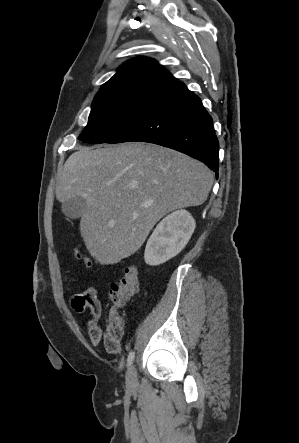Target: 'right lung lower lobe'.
<instances>
[{
  "label": "right lung lower lobe",
  "mask_w": 299,
  "mask_h": 443,
  "mask_svg": "<svg viewBox=\"0 0 299 443\" xmlns=\"http://www.w3.org/2000/svg\"><path fill=\"white\" fill-rule=\"evenodd\" d=\"M140 141L185 153L207 164L218 177L219 144L212 118L183 82L169 87L129 127L107 143Z\"/></svg>",
  "instance_id": "1"
}]
</instances>
